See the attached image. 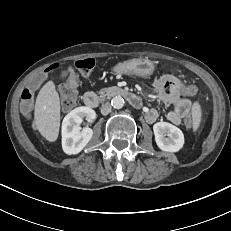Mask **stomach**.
<instances>
[{
    "mask_svg": "<svg viewBox=\"0 0 231 231\" xmlns=\"http://www.w3.org/2000/svg\"><path fill=\"white\" fill-rule=\"evenodd\" d=\"M155 70L154 62L148 58H134L117 63L112 71L120 75L149 77Z\"/></svg>",
    "mask_w": 231,
    "mask_h": 231,
    "instance_id": "0dacf381",
    "label": "stomach"
}]
</instances>
